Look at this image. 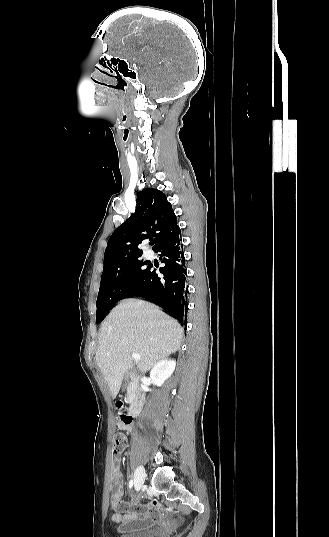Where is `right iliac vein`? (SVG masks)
Returning <instances> with one entry per match:
<instances>
[{"mask_svg":"<svg viewBox=\"0 0 329 537\" xmlns=\"http://www.w3.org/2000/svg\"><path fill=\"white\" fill-rule=\"evenodd\" d=\"M144 480H145V470H144V467L140 465L137 467L136 472H135V477H134V485L137 491L140 490V488L142 487Z\"/></svg>","mask_w":329,"mask_h":537,"instance_id":"obj_1","label":"right iliac vein"}]
</instances>
